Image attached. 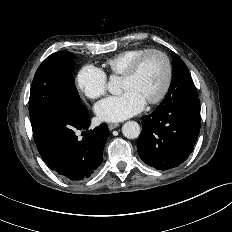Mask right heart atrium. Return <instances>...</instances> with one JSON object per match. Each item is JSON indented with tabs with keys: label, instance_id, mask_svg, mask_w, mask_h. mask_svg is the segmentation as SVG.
I'll return each instance as SVG.
<instances>
[{
	"label": "right heart atrium",
	"instance_id": "right-heart-atrium-1",
	"mask_svg": "<svg viewBox=\"0 0 232 232\" xmlns=\"http://www.w3.org/2000/svg\"><path fill=\"white\" fill-rule=\"evenodd\" d=\"M76 85L83 96L97 99L107 90V77L101 69L93 65H85L77 73Z\"/></svg>",
	"mask_w": 232,
	"mask_h": 232
}]
</instances>
